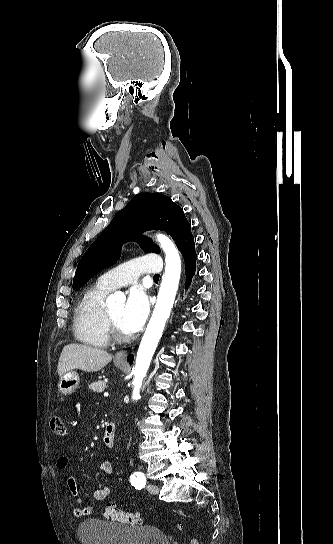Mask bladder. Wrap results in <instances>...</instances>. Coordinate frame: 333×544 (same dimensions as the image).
I'll return each instance as SVG.
<instances>
[{"label":"bladder","mask_w":333,"mask_h":544,"mask_svg":"<svg viewBox=\"0 0 333 544\" xmlns=\"http://www.w3.org/2000/svg\"><path fill=\"white\" fill-rule=\"evenodd\" d=\"M81 544H170L168 536L153 526H127L86 519L77 528Z\"/></svg>","instance_id":"1"}]
</instances>
